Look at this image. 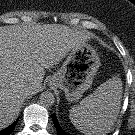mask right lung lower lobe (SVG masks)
Returning a JSON list of instances; mask_svg holds the SVG:
<instances>
[{
    "label": "right lung lower lobe",
    "mask_w": 135,
    "mask_h": 135,
    "mask_svg": "<svg viewBox=\"0 0 135 135\" xmlns=\"http://www.w3.org/2000/svg\"><path fill=\"white\" fill-rule=\"evenodd\" d=\"M18 120H16L11 126H9L8 128L0 131V135H9L12 130L15 128L16 124H17Z\"/></svg>",
    "instance_id": "right-lung-lower-lobe-1"
}]
</instances>
